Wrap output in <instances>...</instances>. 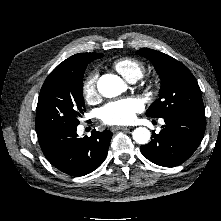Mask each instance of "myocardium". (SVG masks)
Instances as JSON below:
<instances>
[{
    "label": "myocardium",
    "instance_id": "f54148a6",
    "mask_svg": "<svg viewBox=\"0 0 221 221\" xmlns=\"http://www.w3.org/2000/svg\"><path fill=\"white\" fill-rule=\"evenodd\" d=\"M157 82H156V80H154V79H151L150 80V88L151 89H153V90H156L157 89Z\"/></svg>",
    "mask_w": 221,
    "mask_h": 221
}]
</instances>
